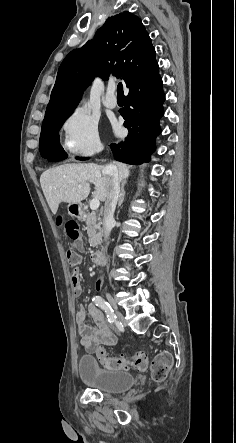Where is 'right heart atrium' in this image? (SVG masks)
I'll return each instance as SVG.
<instances>
[{"label": "right heart atrium", "instance_id": "1", "mask_svg": "<svg viewBox=\"0 0 236 443\" xmlns=\"http://www.w3.org/2000/svg\"><path fill=\"white\" fill-rule=\"evenodd\" d=\"M63 147L71 157L87 158L102 148L98 122L83 109H75L62 124Z\"/></svg>", "mask_w": 236, "mask_h": 443}]
</instances>
